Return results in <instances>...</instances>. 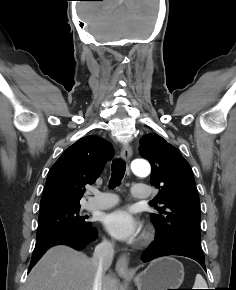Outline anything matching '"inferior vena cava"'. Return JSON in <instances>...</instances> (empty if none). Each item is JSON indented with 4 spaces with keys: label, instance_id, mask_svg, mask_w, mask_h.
<instances>
[{
    "label": "inferior vena cava",
    "instance_id": "602c4592",
    "mask_svg": "<svg viewBox=\"0 0 236 290\" xmlns=\"http://www.w3.org/2000/svg\"><path fill=\"white\" fill-rule=\"evenodd\" d=\"M114 256V243L103 240L95 247L91 263L96 267L93 290H102V280L105 272L112 264Z\"/></svg>",
    "mask_w": 236,
    "mask_h": 290
}]
</instances>
